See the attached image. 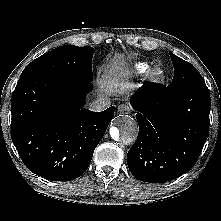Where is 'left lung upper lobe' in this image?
<instances>
[{
    "instance_id": "left-lung-upper-lobe-1",
    "label": "left lung upper lobe",
    "mask_w": 221,
    "mask_h": 221,
    "mask_svg": "<svg viewBox=\"0 0 221 221\" xmlns=\"http://www.w3.org/2000/svg\"><path fill=\"white\" fill-rule=\"evenodd\" d=\"M170 56L175 69L172 83L167 86L168 89L178 91L191 87L206 86L203 78L192 64L173 53H170Z\"/></svg>"
}]
</instances>
